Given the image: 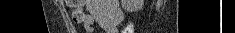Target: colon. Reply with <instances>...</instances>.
Returning a JSON list of instances; mask_svg holds the SVG:
<instances>
[{
    "label": "colon",
    "instance_id": "1",
    "mask_svg": "<svg viewBox=\"0 0 235 33\" xmlns=\"http://www.w3.org/2000/svg\"><path fill=\"white\" fill-rule=\"evenodd\" d=\"M87 1L84 0H66V4L74 9L73 12V18L76 22H82L84 18V14L81 10V7L86 3ZM130 27H128V31L124 33H131Z\"/></svg>",
    "mask_w": 235,
    "mask_h": 33
}]
</instances>
